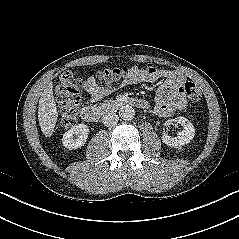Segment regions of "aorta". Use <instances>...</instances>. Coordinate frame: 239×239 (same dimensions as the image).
<instances>
[{"label": "aorta", "mask_w": 239, "mask_h": 239, "mask_svg": "<svg viewBox=\"0 0 239 239\" xmlns=\"http://www.w3.org/2000/svg\"><path fill=\"white\" fill-rule=\"evenodd\" d=\"M119 115L122 120L130 121L135 116V110L132 106L129 105L122 106V108L119 111Z\"/></svg>", "instance_id": "aorta-1"}]
</instances>
